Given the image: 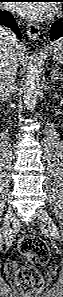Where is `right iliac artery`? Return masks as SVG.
<instances>
[{
	"label": "right iliac artery",
	"instance_id": "1",
	"mask_svg": "<svg viewBox=\"0 0 63 297\" xmlns=\"http://www.w3.org/2000/svg\"><path fill=\"white\" fill-rule=\"evenodd\" d=\"M12 233V230L11 229H9V230H7L6 232H5V236H9L10 234ZM2 236V235H1Z\"/></svg>",
	"mask_w": 63,
	"mask_h": 297
}]
</instances>
